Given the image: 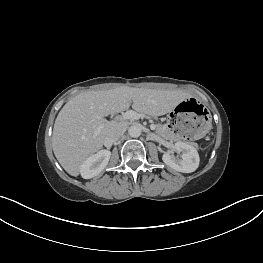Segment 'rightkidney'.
<instances>
[{
  "mask_svg": "<svg viewBox=\"0 0 263 263\" xmlns=\"http://www.w3.org/2000/svg\"><path fill=\"white\" fill-rule=\"evenodd\" d=\"M111 152L109 150H100L96 154L88 157L80 167V174L84 179H90L100 174L107 166Z\"/></svg>",
  "mask_w": 263,
  "mask_h": 263,
  "instance_id": "obj_1",
  "label": "right kidney"
}]
</instances>
